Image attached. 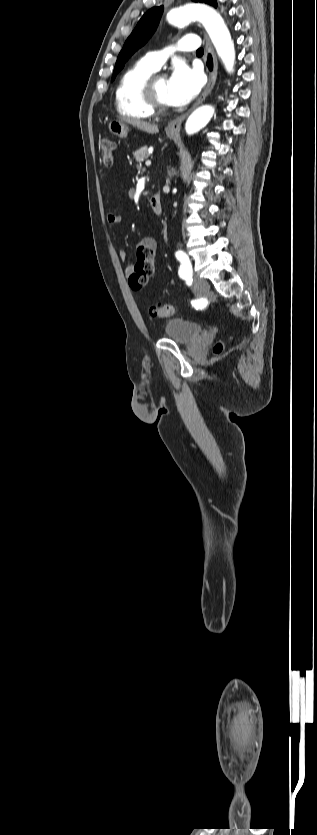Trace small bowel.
<instances>
[{"label":"small bowel","mask_w":317,"mask_h":835,"mask_svg":"<svg viewBox=\"0 0 317 835\" xmlns=\"http://www.w3.org/2000/svg\"><path fill=\"white\" fill-rule=\"evenodd\" d=\"M107 222L111 225H117L121 222V217L116 212H108ZM118 255H119V258L122 261H125L126 258H127V254H126L125 250H123V249L119 250ZM155 256H156V242L154 241V239L149 238V237L142 239L137 246V253H136L137 260L139 258H142L146 261L154 262ZM132 270H133V267L130 266L128 268V271L132 272Z\"/></svg>","instance_id":"small-bowel-1"}]
</instances>
